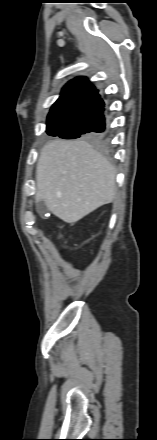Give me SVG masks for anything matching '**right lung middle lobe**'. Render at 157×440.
I'll use <instances>...</instances> for the list:
<instances>
[{
	"label": "right lung middle lobe",
	"mask_w": 157,
	"mask_h": 440,
	"mask_svg": "<svg viewBox=\"0 0 157 440\" xmlns=\"http://www.w3.org/2000/svg\"><path fill=\"white\" fill-rule=\"evenodd\" d=\"M96 131L90 127H84L77 120L47 121V133L63 139H75L79 137L94 138Z\"/></svg>",
	"instance_id": "1"
}]
</instances>
